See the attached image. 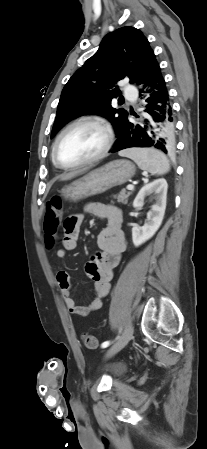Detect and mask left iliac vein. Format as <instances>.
Masks as SVG:
<instances>
[{
  "instance_id": "obj_1",
  "label": "left iliac vein",
  "mask_w": 207,
  "mask_h": 449,
  "mask_svg": "<svg viewBox=\"0 0 207 449\" xmlns=\"http://www.w3.org/2000/svg\"><path fill=\"white\" fill-rule=\"evenodd\" d=\"M133 336V326L131 323H128L122 336L118 339L116 343H114L111 348L107 352V356H112L123 349L127 343L131 340Z\"/></svg>"
}]
</instances>
